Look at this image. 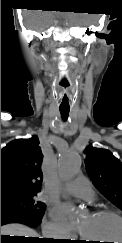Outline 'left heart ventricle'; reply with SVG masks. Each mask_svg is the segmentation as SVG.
Here are the masks:
<instances>
[{
  "mask_svg": "<svg viewBox=\"0 0 122 243\" xmlns=\"http://www.w3.org/2000/svg\"><path fill=\"white\" fill-rule=\"evenodd\" d=\"M79 227L85 238L94 240L88 243H100L106 239L122 241V222L113 216L88 214L81 219Z\"/></svg>",
  "mask_w": 122,
  "mask_h": 243,
  "instance_id": "1",
  "label": "left heart ventricle"
}]
</instances>
